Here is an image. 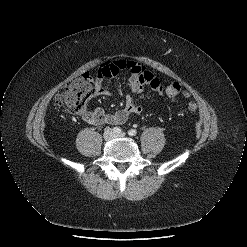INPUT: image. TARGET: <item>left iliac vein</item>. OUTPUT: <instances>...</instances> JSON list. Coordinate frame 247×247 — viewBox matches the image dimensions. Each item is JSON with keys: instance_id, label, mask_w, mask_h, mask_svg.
Returning <instances> with one entry per match:
<instances>
[{"instance_id": "obj_1", "label": "left iliac vein", "mask_w": 247, "mask_h": 247, "mask_svg": "<svg viewBox=\"0 0 247 247\" xmlns=\"http://www.w3.org/2000/svg\"><path fill=\"white\" fill-rule=\"evenodd\" d=\"M126 136V134L125 133H120V134H117V135H115V137H125Z\"/></svg>"}]
</instances>
